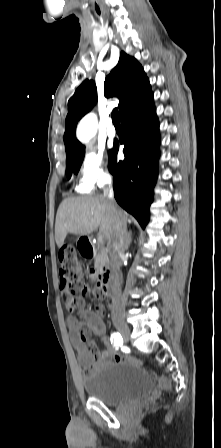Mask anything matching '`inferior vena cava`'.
<instances>
[{
  "instance_id": "602c4592",
  "label": "inferior vena cava",
  "mask_w": 221,
  "mask_h": 448,
  "mask_svg": "<svg viewBox=\"0 0 221 448\" xmlns=\"http://www.w3.org/2000/svg\"><path fill=\"white\" fill-rule=\"evenodd\" d=\"M104 196L107 198L109 207L116 217L109 254L113 272L116 278L114 287L115 297L112 301V311L113 313L118 314L121 312L120 283L122 276L120 274V267L122 265V257L125 250L127 249V230L122 211L118 208L117 203L114 199L111 182H109V188H106L104 190Z\"/></svg>"
}]
</instances>
